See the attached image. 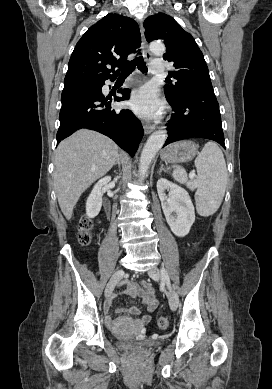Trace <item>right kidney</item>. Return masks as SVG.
<instances>
[{"label":"right kidney","mask_w":272,"mask_h":389,"mask_svg":"<svg viewBox=\"0 0 272 389\" xmlns=\"http://www.w3.org/2000/svg\"><path fill=\"white\" fill-rule=\"evenodd\" d=\"M110 180L111 177L109 176L99 180L91 191V194L89 195L86 202V215L89 218H94L99 214L102 207V188Z\"/></svg>","instance_id":"obj_1"}]
</instances>
